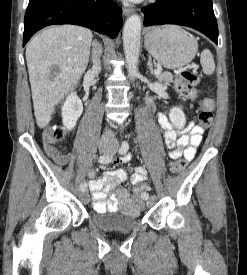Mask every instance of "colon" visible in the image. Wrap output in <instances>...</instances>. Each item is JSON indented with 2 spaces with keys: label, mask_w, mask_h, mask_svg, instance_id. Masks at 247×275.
I'll return each instance as SVG.
<instances>
[{
  "label": "colon",
  "mask_w": 247,
  "mask_h": 275,
  "mask_svg": "<svg viewBox=\"0 0 247 275\" xmlns=\"http://www.w3.org/2000/svg\"><path fill=\"white\" fill-rule=\"evenodd\" d=\"M200 82L199 75L191 70L182 69L178 73L176 82L177 91L186 99L193 100L197 95L196 86ZM214 99L212 97H206L201 102L200 113L198 116L199 125L203 128H208L212 124L213 112H214ZM65 138V131L60 127H55L48 130L44 135V141L46 144H58ZM187 165V162L183 159L175 161L171 165V170L175 174L182 172ZM149 186L146 183L135 186L133 195L142 197L144 193H147Z\"/></svg>",
  "instance_id": "5ec220e1"
}]
</instances>
